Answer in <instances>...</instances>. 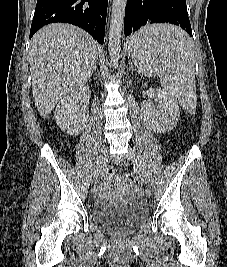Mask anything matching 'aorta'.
Here are the masks:
<instances>
[{
  "mask_svg": "<svg viewBox=\"0 0 227 267\" xmlns=\"http://www.w3.org/2000/svg\"><path fill=\"white\" fill-rule=\"evenodd\" d=\"M127 0H113L109 29L108 49L112 66H117L120 58V42Z\"/></svg>",
  "mask_w": 227,
  "mask_h": 267,
  "instance_id": "1",
  "label": "aorta"
}]
</instances>
